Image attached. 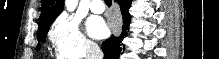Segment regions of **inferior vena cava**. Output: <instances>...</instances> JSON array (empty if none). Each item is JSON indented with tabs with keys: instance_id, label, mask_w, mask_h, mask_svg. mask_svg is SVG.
<instances>
[{
	"instance_id": "inferior-vena-cava-1",
	"label": "inferior vena cava",
	"mask_w": 219,
	"mask_h": 59,
	"mask_svg": "<svg viewBox=\"0 0 219 59\" xmlns=\"http://www.w3.org/2000/svg\"><path fill=\"white\" fill-rule=\"evenodd\" d=\"M86 59H103V52L97 44H86Z\"/></svg>"
}]
</instances>
